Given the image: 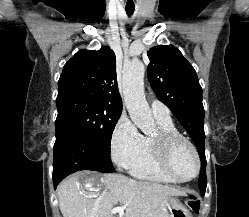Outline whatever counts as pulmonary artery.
I'll return each instance as SVG.
<instances>
[{
	"mask_svg": "<svg viewBox=\"0 0 249 217\" xmlns=\"http://www.w3.org/2000/svg\"><path fill=\"white\" fill-rule=\"evenodd\" d=\"M151 110L156 119L160 120L171 119L169 108L159 100H153L151 102Z\"/></svg>",
	"mask_w": 249,
	"mask_h": 217,
	"instance_id": "1",
	"label": "pulmonary artery"
}]
</instances>
